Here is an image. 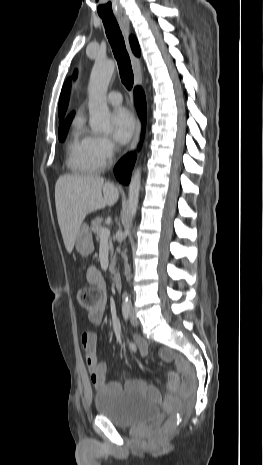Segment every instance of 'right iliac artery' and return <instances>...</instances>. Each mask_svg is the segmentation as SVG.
I'll list each match as a JSON object with an SVG mask.
<instances>
[{
  "label": "right iliac artery",
  "mask_w": 263,
  "mask_h": 465,
  "mask_svg": "<svg viewBox=\"0 0 263 465\" xmlns=\"http://www.w3.org/2000/svg\"><path fill=\"white\" fill-rule=\"evenodd\" d=\"M130 311H131V304L130 302H124L123 307H122V313L124 319L127 321L129 316H130Z\"/></svg>",
  "instance_id": "right-iliac-artery-1"
}]
</instances>
